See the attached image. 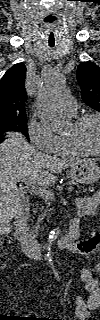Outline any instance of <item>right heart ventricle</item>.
Returning a JSON list of instances; mask_svg holds the SVG:
<instances>
[{
	"label": "right heart ventricle",
	"mask_w": 100,
	"mask_h": 320,
	"mask_svg": "<svg viewBox=\"0 0 100 320\" xmlns=\"http://www.w3.org/2000/svg\"><path fill=\"white\" fill-rule=\"evenodd\" d=\"M55 154L62 155V156H77L82 154L81 152L77 151L73 148L66 140L65 137H59L58 145L54 151Z\"/></svg>",
	"instance_id": "obj_1"
}]
</instances>
